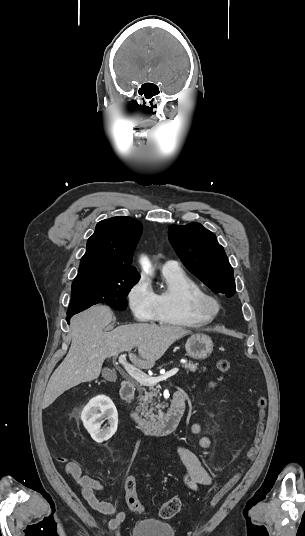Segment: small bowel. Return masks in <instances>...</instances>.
<instances>
[{
    "label": "small bowel",
    "mask_w": 305,
    "mask_h": 536,
    "mask_svg": "<svg viewBox=\"0 0 305 536\" xmlns=\"http://www.w3.org/2000/svg\"><path fill=\"white\" fill-rule=\"evenodd\" d=\"M201 425L195 423L192 426V432L199 434ZM209 440L206 437L201 438L200 445L203 448L209 446ZM177 454L185 468L183 474L184 483L191 490H197L200 486H210L212 478L202 466L198 457L187 447L178 446ZM66 473L76 482L84 500L88 505L102 515H114V517L106 521L109 529H116L125 519V511L116 513L115 506L99 497V492L104 490V485L97 479L82 473L80 465L74 461L67 462L65 466Z\"/></svg>",
    "instance_id": "1"
}]
</instances>
